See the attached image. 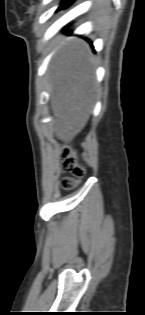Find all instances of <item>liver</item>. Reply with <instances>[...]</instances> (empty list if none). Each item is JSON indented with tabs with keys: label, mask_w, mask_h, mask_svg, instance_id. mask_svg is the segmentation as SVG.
Returning <instances> with one entry per match:
<instances>
[{
	"label": "liver",
	"mask_w": 145,
	"mask_h": 315,
	"mask_svg": "<svg viewBox=\"0 0 145 315\" xmlns=\"http://www.w3.org/2000/svg\"><path fill=\"white\" fill-rule=\"evenodd\" d=\"M54 133L71 142L87 124L95 96V67L89 46L75 40L61 48L49 67Z\"/></svg>",
	"instance_id": "1"
}]
</instances>
